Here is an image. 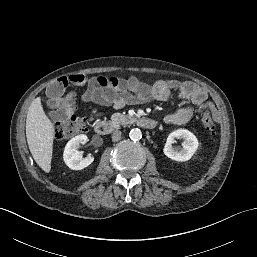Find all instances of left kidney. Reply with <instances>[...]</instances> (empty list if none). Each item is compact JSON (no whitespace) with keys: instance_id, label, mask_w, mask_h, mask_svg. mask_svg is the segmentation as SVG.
Returning a JSON list of instances; mask_svg holds the SVG:
<instances>
[{"instance_id":"1","label":"left kidney","mask_w":257,"mask_h":257,"mask_svg":"<svg viewBox=\"0 0 257 257\" xmlns=\"http://www.w3.org/2000/svg\"><path fill=\"white\" fill-rule=\"evenodd\" d=\"M176 138L184 140L180 150H175L172 147ZM198 145V140L193 133L187 129H177L168 135L163 151L168 158L178 162H185L192 158L198 148Z\"/></svg>"}]
</instances>
